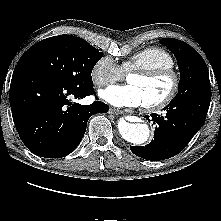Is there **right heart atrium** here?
Returning a JSON list of instances; mask_svg holds the SVG:
<instances>
[{
    "label": "right heart atrium",
    "instance_id": "d8ad5b80",
    "mask_svg": "<svg viewBox=\"0 0 221 221\" xmlns=\"http://www.w3.org/2000/svg\"><path fill=\"white\" fill-rule=\"evenodd\" d=\"M90 77L93 84L100 88L121 80L123 71L111 57L102 56L92 66Z\"/></svg>",
    "mask_w": 221,
    "mask_h": 221
}]
</instances>
